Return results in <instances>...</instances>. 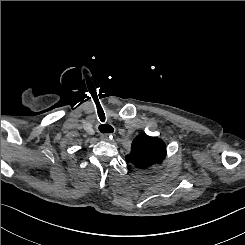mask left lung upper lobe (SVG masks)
<instances>
[{"instance_id": "obj_1", "label": "left lung upper lobe", "mask_w": 245, "mask_h": 245, "mask_svg": "<svg viewBox=\"0 0 245 245\" xmlns=\"http://www.w3.org/2000/svg\"><path fill=\"white\" fill-rule=\"evenodd\" d=\"M166 157V145L158 137L141 134L132 142L130 154L125 156L128 163L140 169L161 164Z\"/></svg>"}]
</instances>
